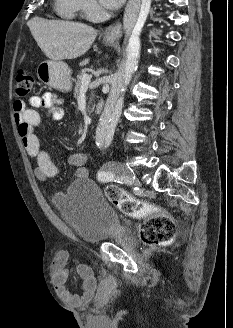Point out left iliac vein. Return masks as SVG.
Returning <instances> with one entry per match:
<instances>
[{
    "mask_svg": "<svg viewBox=\"0 0 233 328\" xmlns=\"http://www.w3.org/2000/svg\"><path fill=\"white\" fill-rule=\"evenodd\" d=\"M118 171L120 173L119 179L124 183L138 187L141 186V182L136 178L134 172L124 164L119 166Z\"/></svg>",
    "mask_w": 233,
    "mask_h": 328,
    "instance_id": "left-iliac-vein-1",
    "label": "left iliac vein"
}]
</instances>
